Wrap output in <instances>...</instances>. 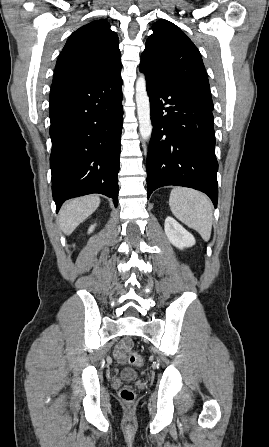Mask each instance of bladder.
<instances>
[{"mask_svg": "<svg viewBox=\"0 0 269 447\" xmlns=\"http://www.w3.org/2000/svg\"><path fill=\"white\" fill-rule=\"evenodd\" d=\"M121 377L126 380H135L136 373L133 369H124L121 374Z\"/></svg>", "mask_w": 269, "mask_h": 447, "instance_id": "1", "label": "bladder"}]
</instances>
